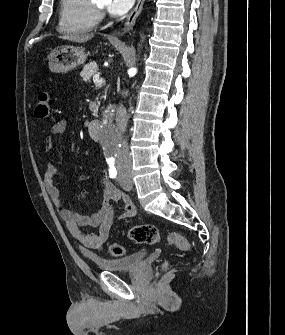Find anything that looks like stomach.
<instances>
[{"instance_id": "1", "label": "stomach", "mask_w": 285, "mask_h": 335, "mask_svg": "<svg viewBox=\"0 0 285 335\" xmlns=\"http://www.w3.org/2000/svg\"><path fill=\"white\" fill-rule=\"evenodd\" d=\"M87 54L83 48L74 46H59L49 54V70L51 72H68L86 62Z\"/></svg>"}]
</instances>
